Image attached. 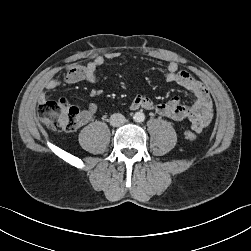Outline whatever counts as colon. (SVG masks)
Returning a JSON list of instances; mask_svg holds the SVG:
<instances>
[{
	"label": "colon",
	"mask_w": 251,
	"mask_h": 251,
	"mask_svg": "<svg viewBox=\"0 0 251 251\" xmlns=\"http://www.w3.org/2000/svg\"><path fill=\"white\" fill-rule=\"evenodd\" d=\"M37 115L42 122L54 131L69 132L79 126L80 110L64 100L40 103L37 108ZM194 132V130L186 131L187 139L193 140Z\"/></svg>",
	"instance_id": "obj_1"
}]
</instances>
